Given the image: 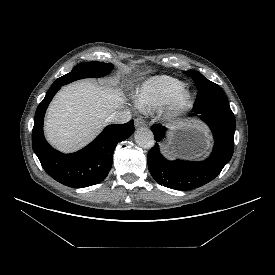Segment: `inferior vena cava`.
I'll return each instance as SVG.
<instances>
[{"label":"inferior vena cava","mask_w":275,"mask_h":275,"mask_svg":"<svg viewBox=\"0 0 275 275\" xmlns=\"http://www.w3.org/2000/svg\"><path fill=\"white\" fill-rule=\"evenodd\" d=\"M131 119L130 111H114L106 120L108 122L123 124Z\"/></svg>","instance_id":"inferior-vena-cava-1"}]
</instances>
